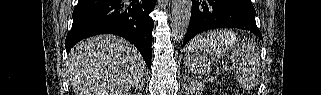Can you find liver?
Instances as JSON below:
<instances>
[{
  "label": "liver",
  "mask_w": 321,
  "mask_h": 95,
  "mask_svg": "<svg viewBox=\"0 0 321 95\" xmlns=\"http://www.w3.org/2000/svg\"><path fill=\"white\" fill-rule=\"evenodd\" d=\"M66 70L76 95H126L143 80L145 63L128 41L99 35L72 48Z\"/></svg>",
  "instance_id": "obj_1"
}]
</instances>
